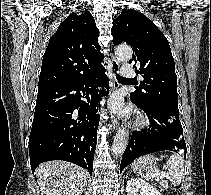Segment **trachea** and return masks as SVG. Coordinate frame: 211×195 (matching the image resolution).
<instances>
[{"label":"trachea","instance_id":"trachea-1","mask_svg":"<svg viewBox=\"0 0 211 195\" xmlns=\"http://www.w3.org/2000/svg\"><path fill=\"white\" fill-rule=\"evenodd\" d=\"M116 78H117L118 81L133 82V80L127 79V78L122 77V76H120V75H116Z\"/></svg>","mask_w":211,"mask_h":195}]
</instances>
